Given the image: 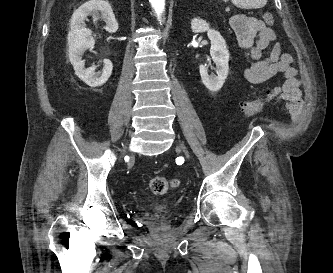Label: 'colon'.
<instances>
[{
    "label": "colon",
    "instance_id": "obj_1",
    "mask_svg": "<svg viewBox=\"0 0 333 273\" xmlns=\"http://www.w3.org/2000/svg\"><path fill=\"white\" fill-rule=\"evenodd\" d=\"M263 20L266 24L272 25L273 24V15L269 12L265 13L263 15ZM265 105V99L263 97H259L253 100L246 101L242 104V110L247 116H253L259 111L262 110V108ZM179 185L178 179H172L168 180L165 177L162 176H156L150 180L149 186L151 191L155 195H164L166 194L170 189H173Z\"/></svg>",
    "mask_w": 333,
    "mask_h": 273
}]
</instances>
